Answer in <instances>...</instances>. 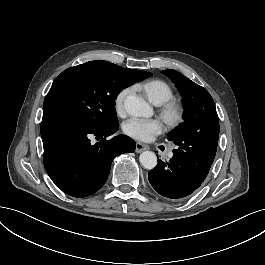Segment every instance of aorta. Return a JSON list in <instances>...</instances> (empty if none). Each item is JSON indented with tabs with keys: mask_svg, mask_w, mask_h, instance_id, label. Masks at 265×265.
Masks as SVG:
<instances>
[{
	"mask_svg": "<svg viewBox=\"0 0 265 265\" xmlns=\"http://www.w3.org/2000/svg\"><path fill=\"white\" fill-rule=\"evenodd\" d=\"M127 113L135 117H149L152 114L151 106L143 99L129 95L124 100ZM139 161L147 170H152L157 165V157L152 151H144L140 154Z\"/></svg>",
	"mask_w": 265,
	"mask_h": 265,
	"instance_id": "1",
	"label": "aorta"
}]
</instances>
